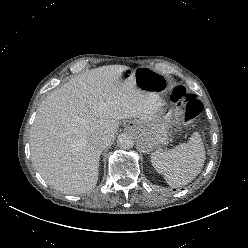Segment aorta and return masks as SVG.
Listing matches in <instances>:
<instances>
[{
  "label": "aorta",
  "mask_w": 248,
  "mask_h": 248,
  "mask_svg": "<svg viewBox=\"0 0 248 248\" xmlns=\"http://www.w3.org/2000/svg\"><path fill=\"white\" fill-rule=\"evenodd\" d=\"M117 144L122 149H130L134 145V138L128 133H122L117 138Z\"/></svg>",
  "instance_id": "aorta-1"
}]
</instances>
